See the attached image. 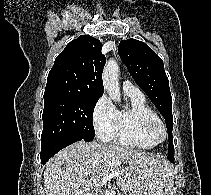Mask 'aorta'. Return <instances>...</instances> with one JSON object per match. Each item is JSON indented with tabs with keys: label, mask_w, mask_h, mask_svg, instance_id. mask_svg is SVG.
I'll return each mask as SVG.
<instances>
[{
	"label": "aorta",
	"mask_w": 211,
	"mask_h": 195,
	"mask_svg": "<svg viewBox=\"0 0 211 195\" xmlns=\"http://www.w3.org/2000/svg\"><path fill=\"white\" fill-rule=\"evenodd\" d=\"M118 77V63L114 59L108 60L103 70V86L114 102H119L121 100Z\"/></svg>",
	"instance_id": "aorta-1"
}]
</instances>
